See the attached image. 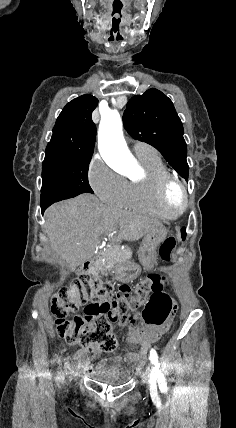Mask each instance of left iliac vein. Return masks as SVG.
<instances>
[{
	"instance_id": "1",
	"label": "left iliac vein",
	"mask_w": 236,
	"mask_h": 428,
	"mask_svg": "<svg viewBox=\"0 0 236 428\" xmlns=\"http://www.w3.org/2000/svg\"><path fill=\"white\" fill-rule=\"evenodd\" d=\"M145 369H146V371H148V372H149V371H151V369H152V368H151V366H149V365H148V366H146V368H145Z\"/></svg>"
}]
</instances>
